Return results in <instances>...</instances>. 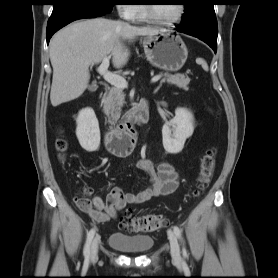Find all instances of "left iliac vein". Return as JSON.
Segmentation results:
<instances>
[{
	"instance_id": "left-iliac-vein-1",
	"label": "left iliac vein",
	"mask_w": 278,
	"mask_h": 278,
	"mask_svg": "<svg viewBox=\"0 0 278 278\" xmlns=\"http://www.w3.org/2000/svg\"><path fill=\"white\" fill-rule=\"evenodd\" d=\"M167 233L170 242V253H171L172 260L176 265H180L181 262L180 247L178 244L177 237L171 229L168 230Z\"/></svg>"
}]
</instances>
